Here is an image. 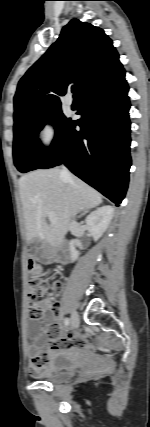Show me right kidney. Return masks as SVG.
<instances>
[{"instance_id":"obj_1","label":"right kidney","mask_w":150,"mask_h":427,"mask_svg":"<svg viewBox=\"0 0 150 427\" xmlns=\"http://www.w3.org/2000/svg\"><path fill=\"white\" fill-rule=\"evenodd\" d=\"M114 215L112 206H103L93 211L86 217V227L94 241H97L109 227ZM71 262H74L79 257V251L75 248V242H70Z\"/></svg>"}]
</instances>
